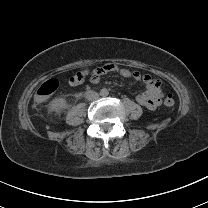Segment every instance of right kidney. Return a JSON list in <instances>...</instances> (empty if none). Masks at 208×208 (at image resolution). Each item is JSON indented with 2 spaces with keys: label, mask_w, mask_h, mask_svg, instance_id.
<instances>
[{
  "label": "right kidney",
  "mask_w": 208,
  "mask_h": 208,
  "mask_svg": "<svg viewBox=\"0 0 208 208\" xmlns=\"http://www.w3.org/2000/svg\"><path fill=\"white\" fill-rule=\"evenodd\" d=\"M51 107L54 110L65 108L66 107V101L63 98H56L51 102Z\"/></svg>",
  "instance_id": "obj_1"
}]
</instances>
